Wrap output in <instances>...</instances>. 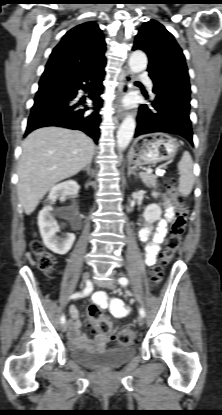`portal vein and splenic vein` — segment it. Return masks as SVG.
<instances>
[{
    "label": "portal vein and splenic vein",
    "instance_id": "portal-vein-and-splenic-vein-1",
    "mask_svg": "<svg viewBox=\"0 0 222 415\" xmlns=\"http://www.w3.org/2000/svg\"><path fill=\"white\" fill-rule=\"evenodd\" d=\"M152 172H153V170H152L151 168H147V169H146V173L150 174V173H152ZM140 174H141V173H140ZM159 175L163 176V175H164V173H160Z\"/></svg>",
    "mask_w": 222,
    "mask_h": 415
}]
</instances>
